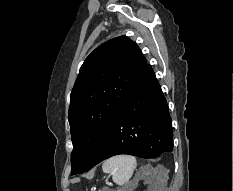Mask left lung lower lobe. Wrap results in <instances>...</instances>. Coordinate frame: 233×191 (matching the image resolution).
<instances>
[{
    "label": "left lung lower lobe",
    "instance_id": "obj_1",
    "mask_svg": "<svg viewBox=\"0 0 233 191\" xmlns=\"http://www.w3.org/2000/svg\"><path fill=\"white\" fill-rule=\"evenodd\" d=\"M173 151L171 117L154 71L147 64L88 166L119 154L155 158Z\"/></svg>",
    "mask_w": 233,
    "mask_h": 191
}]
</instances>
